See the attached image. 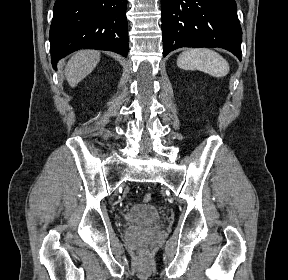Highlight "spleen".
Masks as SVG:
<instances>
[{
  "instance_id": "1",
  "label": "spleen",
  "mask_w": 288,
  "mask_h": 280,
  "mask_svg": "<svg viewBox=\"0 0 288 280\" xmlns=\"http://www.w3.org/2000/svg\"><path fill=\"white\" fill-rule=\"evenodd\" d=\"M177 66L185 70H200L214 77L226 76L229 64L220 54L208 48H195L184 51L178 56Z\"/></svg>"
}]
</instances>
